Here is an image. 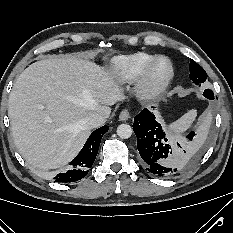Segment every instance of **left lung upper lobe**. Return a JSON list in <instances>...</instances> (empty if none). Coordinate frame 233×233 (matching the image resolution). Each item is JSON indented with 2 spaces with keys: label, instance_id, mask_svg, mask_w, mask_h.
<instances>
[{
  "label": "left lung upper lobe",
  "instance_id": "5c2ea615",
  "mask_svg": "<svg viewBox=\"0 0 233 233\" xmlns=\"http://www.w3.org/2000/svg\"><path fill=\"white\" fill-rule=\"evenodd\" d=\"M190 79L196 85H201L207 79L204 69L192 59L190 60Z\"/></svg>",
  "mask_w": 233,
  "mask_h": 233
}]
</instances>
